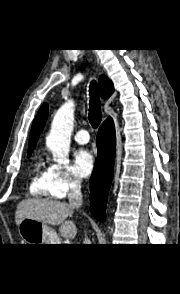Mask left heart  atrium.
<instances>
[{
    "mask_svg": "<svg viewBox=\"0 0 180 294\" xmlns=\"http://www.w3.org/2000/svg\"><path fill=\"white\" fill-rule=\"evenodd\" d=\"M94 168L93 155L85 149L76 152L74 156L73 170L79 177H87Z\"/></svg>",
    "mask_w": 180,
    "mask_h": 294,
    "instance_id": "1",
    "label": "left heart atrium"
}]
</instances>
